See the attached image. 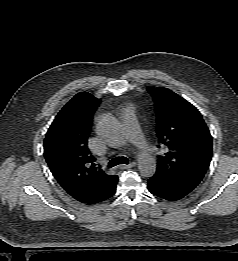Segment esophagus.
<instances>
[{"label":"esophagus","instance_id":"obj_1","mask_svg":"<svg viewBox=\"0 0 238 261\" xmlns=\"http://www.w3.org/2000/svg\"><path fill=\"white\" fill-rule=\"evenodd\" d=\"M136 166V162H131V163H129V164H127V165H120L119 166V168L120 169H129V168H132V167H135Z\"/></svg>","mask_w":238,"mask_h":261}]
</instances>
